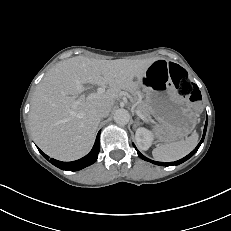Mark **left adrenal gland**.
Masks as SVG:
<instances>
[{"label":"left adrenal gland","mask_w":231,"mask_h":231,"mask_svg":"<svg viewBox=\"0 0 231 231\" xmlns=\"http://www.w3.org/2000/svg\"><path fill=\"white\" fill-rule=\"evenodd\" d=\"M136 124H140V119L137 117Z\"/></svg>","instance_id":"obj_1"}]
</instances>
